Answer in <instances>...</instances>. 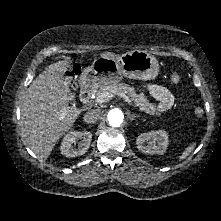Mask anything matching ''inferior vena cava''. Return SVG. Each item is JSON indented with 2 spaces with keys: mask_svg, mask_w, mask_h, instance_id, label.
Returning <instances> with one entry per match:
<instances>
[{
  "mask_svg": "<svg viewBox=\"0 0 221 221\" xmlns=\"http://www.w3.org/2000/svg\"><path fill=\"white\" fill-rule=\"evenodd\" d=\"M100 117V110L93 109L85 113L83 119L87 124L95 123Z\"/></svg>",
  "mask_w": 221,
  "mask_h": 221,
  "instance_id": "1",
  "label": "inferior vena cava"
}]
</instances>
